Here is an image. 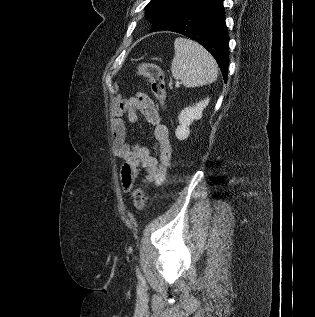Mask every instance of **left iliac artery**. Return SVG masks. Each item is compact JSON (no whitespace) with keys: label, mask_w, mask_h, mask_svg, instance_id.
<instances>
[{"label":"left iliac artery","mask_w":315,"mask_h":317,"mask_svg":"<svg viewBox=\"0 0 315 317\" xmlns=\"http://www.w3.org/2000/svg\"><path fill=\"white\" fill-rule=\"evenodd\" d=\"M137 274L139 277H141V273L139 272V269L137 268Z\"/></svg>","instance_id":"44dca946"}]
</instances>
